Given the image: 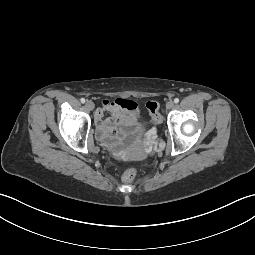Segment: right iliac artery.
Returning a JSON list of instances; mask_svg holds the SVG:
<instances>
[{
    "label": "right iliac artery",
    "instance_id": "1",
    "mask_svg": "<svg viewBox=\"0 0 255 255\" xmlns=\"http://www.w3.org/2000/svg\"><path fill=\"white\" fill-rule=\"evenodd\" d=\"M80 101H81V103H85V99L84 98H81Z\"/></svg>",
    "mask_w": 255,
    "mask_h": 255
}]
</instances>
